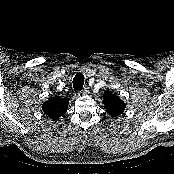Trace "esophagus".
I'll list each match as a JSON object with an SVG mask.
<instances>
[{"label": "esophagus", "instance_id": "34e87169", "mask_svg": "<svg viewBox=\"0 0 174 174\" xmlns=\"http://www.w3.org/2000/svg\"><path fill=\"white\" fill-rule=\"evenodd\" d=\"M89 93V89L88 87H84V89L82 91L79 92V95H86Z\"/></svg>", "mask_w": 174, "mask_h": 174}]
</instances>
